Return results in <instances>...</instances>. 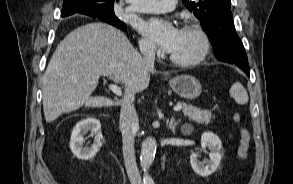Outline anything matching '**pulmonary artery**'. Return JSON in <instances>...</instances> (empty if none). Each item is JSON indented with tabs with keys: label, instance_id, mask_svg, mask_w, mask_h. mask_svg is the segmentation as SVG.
<instances>
[{
	"label": "pulmonary artery",
	"instance_id": "pulmonary-artery-1",
	"mask_svg": "<svg viewBox=\"0 0 293 184\" xmlns=\"http://www.w3.org/2000/svg\"><path fill=\"white\" fill-rule=\"evenodd\" d=\"M177 0H132L126 10L139 13H165L175 8Z\"/></svg>",
	"mask_w": 293,
	"mask_h": 184
}]
</instances>
